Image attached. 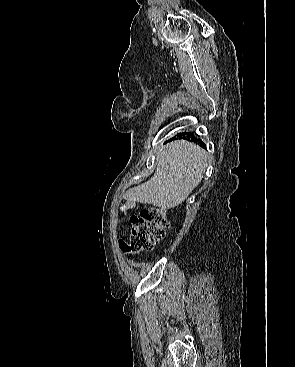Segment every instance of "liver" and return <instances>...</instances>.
Listing matches in <instances>:
<instances>
[{
  "instance_id": "6515ba94",
  "label": "liver",
  "mask_w": 295,
  "mask_h": 367,
  "mask_svg": "<svg viewBox=\"0 0 295 367\" xmlns=\"http://www.w3.org/2000/svg\"><path fill=\"white\" fill-rule=\"evenodd\" d=\"M208 154L194 143L178 140L157 152L154 176L130 189L129 202L171 209L181 204L201 182L208 166Z\"/></svg>"
}]
</instances>
